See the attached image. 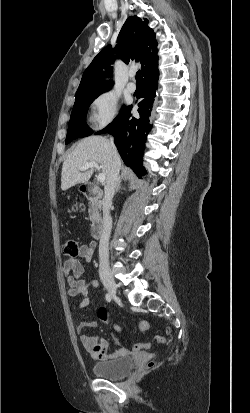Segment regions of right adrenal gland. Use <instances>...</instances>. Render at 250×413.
<instances>
[{"label": "right adrenal gland", "instance_id": "obj_1", "mask_svg": "<svg viewBox=\"0 0 250 413\" xmlns=\"http://www.w3.org/2000/svg\"><path fill=\"white\" fill-rule=\"evenodd\" d=\"M121 178H122V177L119 176L115 193H117V192L119 191V189L121 188Z\"/></svg>", "mask_w": 250, "mask_h": 413}]
</instances>
